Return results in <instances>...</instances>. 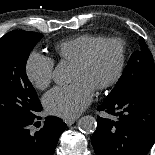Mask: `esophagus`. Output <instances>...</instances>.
<instances>
[{"label":"esophagus","instance_id":"1","mask_svg":"<svg viewBox=\"0 0 155 155\" xmlns=\"http://www.w3.org/2000/svg\"><path fill=\"white\" fill-rule=\"evenodd\" d=\"M64 122L68 125L71 126L72 124H74L76 122L75 118H65Z\"/></svg>","mask_w":155,"mask_h":155}]
</instances>
